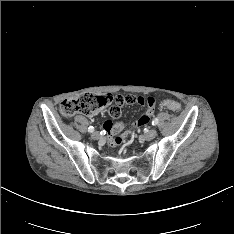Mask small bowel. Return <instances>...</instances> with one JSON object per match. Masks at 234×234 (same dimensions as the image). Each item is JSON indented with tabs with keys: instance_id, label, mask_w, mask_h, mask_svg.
<instances>
[{
	"instance_id": "small-bowel-1",
	"label": "small bowel",
	"mask_w": 234,
	"mask_h": 234,
	"mask_svg": "<svg viewBox=\"0 0 234 234\" xmlns=\"http://www.w3.org/2000/svg\"><path fill=\"white\" fill-rule=\"evenodd\" d=\"M106 102H109V99H106ZM129 103H138L141 105L144 104H152L148 105V109L145 112V114L138 120L137 125L141 126L144 124H147L150 120V117L154 113V105H155V98L150 96H133L129 93H124L121 96L116 98V102H112L109 104L107 113L112 117L114 120H120L122 111V107L125 104ZM124 128V123L122 121L112 122L107 121L104 124V129L108 133V143L111 146H115L120 144L123 141V136L121 135V132Z\"/></svg>"
}]
</instances>
